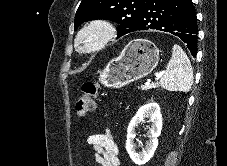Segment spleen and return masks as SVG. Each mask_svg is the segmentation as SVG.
<instances>
[{
    "label": "spleen",
    "instance_id": "obj_1",
    "mask_svg": "<svg viewBox=\"0 0 227 166\" xmlns=\"http://www.w3.org/2000/svg\"><path fill=\"white\" fill-rule=\"evenodd\" d=\"M159 84L168 91H190L193 70L189 58L179 45L173 46L171 59Z\"/></svg>",
    "mask_w": 227,
    "mask_h": 166
}]
</instances>
